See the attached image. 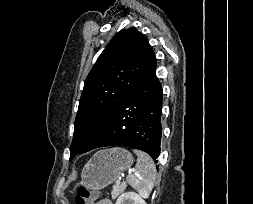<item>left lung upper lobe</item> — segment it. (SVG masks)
Listing matches in <instances>:
<instances>
[{
    "mask_svg": "<svg viewBox=\"0 0 253 204\" xmlns=\"http://www.w3.org/2000/svg\"><path fill=\"white\" fill-rule=\"evenodd\" d=\"M154 56L146 36L135 27L112 38L84 82L70 160L86 149L93 135L140 83Z\"/></svg>",
    "mask_w": 253,
    "mask_h": 204,
    "instance_id": "obj_1",
    "label": "left lung upper lobe"
}]
</instances>
